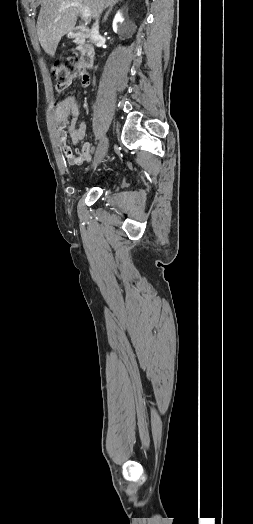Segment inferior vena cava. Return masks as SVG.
Masks as SVG:
<instances>
[{
	"mask_svg": "<svg viewBox=\"0 0 253 524\" xmlns=\"http://www.w3.org/2000/svg\"><path fill=\"white\" fill-rule=\"evenodd\" d=\"M98 17H99V15L97 16L96 22L94 23V25L92 27V38L94 40H97L99 38V20H98Z\"/></svg>",
	"mask_w": 253,
	"mask_h": 524,
	"instance_id": "inferior-vena-cava-1",
	"label": "inferior vena cava"
}]
</instances>
